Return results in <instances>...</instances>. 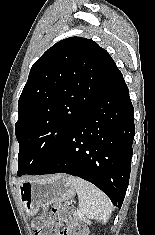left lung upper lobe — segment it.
Wrapping results in <instances>:
<instances>
[{
	"mask_svg": "<svg viewBox=\"0 0 155 235\" xmlns=\"http://www.w3.org/2000/svg\"><path fill=\"white\" fill-rule=\"evenodd\" d=\"M116 69L105 49L81 37L57 42L34 63L18 101V176L49 163Z\"/></svg>",
	"mask_w": 155,
	"mask_h": 235,
	"instance_id": "obj_1",
	"label": "left lung upper lobe"
}]
</instances>
